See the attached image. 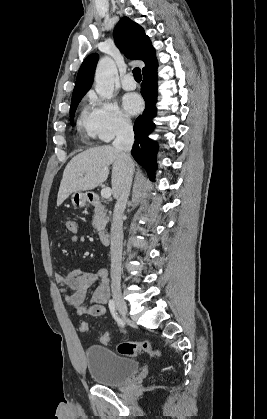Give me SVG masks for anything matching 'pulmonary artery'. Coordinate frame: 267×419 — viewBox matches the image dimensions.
<instances>
[{"label": "pulmonary artery", "mask_w": 267, "mask_h": 419, "mask_svg": "<svg viewBox=\"0 0 267 419\" xmlns=\"http://www.w3.org/2000/svg\"><path fill=\"white\" fill-rule=\"evenodd\" d=\"M137 86L134 77L131 73H128L124 76L123 80H122V87L125 90H133L135 89Z\"/></svg>", "instance_id": "1"}]
</instances>
